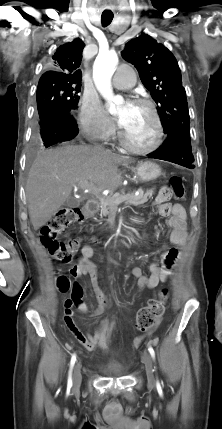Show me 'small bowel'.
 Wrapping results in <instances>:
<instances>
[{
  "label": "small bowel",
  "instance_id": "c3829d8e",
  "mask_svg": "<svg viewBox=\"0 0 222 429\" xmlns=\"http://www.w3.org/2000/svg\"><path fill=\"white\" fill-rule=\"evenodd\" d=\"M158 213L166 217V224L169 228L168 240L175 245H182L186 241V211L180 204L168 203L160 192L155 198ZM94 250L90 245H84L81 249V256L78 262L71 268L70 274L73 278L88 276L91 281L92 290L97 301V307L89 312L83 300V290L73 289L70 298L64 302L63 320L75 336V338L89 351L101 350L107 352L116 331L117 322L115 320H101L97 331L94 334L84 333L74 320V309L80 313L95 317L100 316L112 304V299L105 293L100 280L96 265L92 262ZM179 256V250L170 248L163 250L160 263H151L149 266L150 275H144L140 267H133L130 274L137 279L140 290L153 291L160 283L165 282L171 269ZM152 330L144 335L138 336L132 341V346H139L145 338L150 336Z\"/></svg>",
  "mask_w": 222,
  "mask_h": 429
}]
</instances>
